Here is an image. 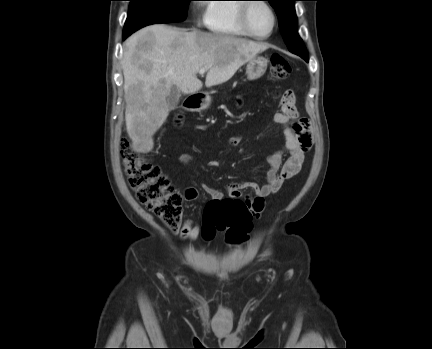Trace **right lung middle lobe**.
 Returning a JSON list of instances; mask_svg holds the SVG:
<instances>
[{"label":"right lung middle lobe","mask_w":432,"mask_h":349,"mask_svg":"<svg viewBox=\"0 0 432 349\" xmlns=\"http://www.w3.org/2000/svg\"><path fill=\"white\" fill-rule=\"evenodd\" d=\"M123 34L155 23L181 22L186 19L191 0H129Z\"/></svg>","instance_id":"obj_1"}]
</instances>
